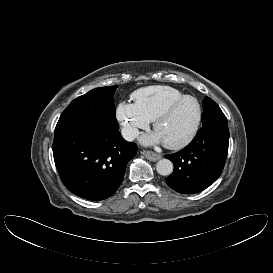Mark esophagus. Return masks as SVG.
I'll return each instance as SVG.
<instances>
[{
    "label": "esophagus",
    "instance_id": "1",
    "mask_svg": "<svg viewBox=\"0 0 273 273\" xmlns=\"http://www.w3.org/2000/svg\"><path fill=\"white\" fill-rule=\"evenodd\" d=\"M141 154L144 155L148 160L153 161V162L161 159V157H162L160 154L155 153L153 151H149V150H142Z\"/></svg>",
    "mask_w": 273,
    "mask_h": 273
}]
</instances>
